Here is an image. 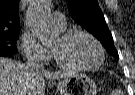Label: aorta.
Returning a JSON list of instances; mask_svg holds the SVG:
<instances>
[{
  "mask_svg": "<svg viewBox=\"0 0 135 95\" xmlns=\"http://www.w3.org/2000/svg\"><path fill=\"white\" fill-rule=\"evenodd\" d=\"M50 0H33L28 12V24L32 34L42 43L53 41L57 33L48 22Z\"/></svg>",
  "mask_w": 135,
  "mask_h": 95,
  "instance_id": "obj_1",
  "label": "aorta"
}]
</instances>
